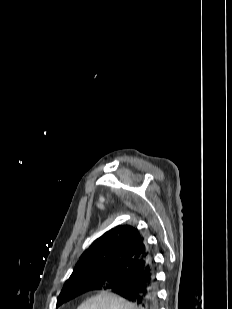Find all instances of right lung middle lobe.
<instances>
[{
  "instance_id": "obj_1",
  "label": "right lung middle lobe",
  "mask_w": 232,
  "mask_h": 309,
  "mask_svg": "<svg viewBox=\"0 0 232 309\" xmlns=\"http://www.w3.org/2000/svg\"><path fill=\"white\" fill-rule=\"evenodd\" d=\"M124 274H114L107 271L86 272L67 281L58 296L57 306L85 293L91 288L102 286L106 281L124 283L127 280Z\"/></svg>"
}]
</instances>
